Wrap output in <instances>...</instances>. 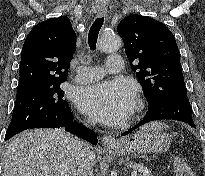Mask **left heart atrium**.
<instances>
[{"label":"left heart atrium","instance_id":"39dd6f15","mask_svg":"<svg viewBox=\"0 0 205 176\" xmlns=\"http://www.w3.org/2000/svg\"><path fill=\"white\" fill-rule=\"evenodd\" d=\"M76 101L78 108L94 119L117 124L134 110L136 91L126 80H109L81 88Z\"/></svg>","mask_w":205,"mask_h":176}]
</instances>
